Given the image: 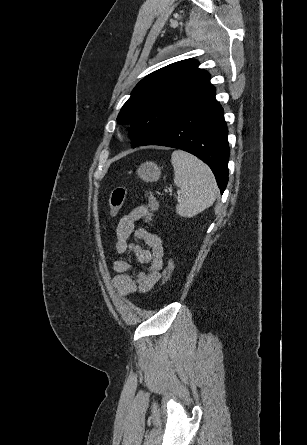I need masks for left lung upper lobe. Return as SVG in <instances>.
I'll use <instances>...</instances> for the list:
<instances>
[{
    "label": "left lung upper lobe",
    "instance_id": "5c2ea615",
    "mask_svg": "<svg viewBox=\"0 0 307 445\" xmlns=\"http://www.w3.org/2000/svg\"><path fill=\"white\" fill-rule=\"evenodd\" d=\"M198 65L192 59L178 61L136 85L117 117L119 124L131 123L132 147L215 92L209 73Z\"/></svg>",
    "mask_w": 307,
    "mask_h": 445
}]
</instances>
